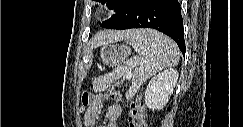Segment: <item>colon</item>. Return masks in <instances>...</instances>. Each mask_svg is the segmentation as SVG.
Returning a JSON list of instances; mask_svg holds the SVG:
<instances>
[{"label": "colon", "instance_id": "1", "mask_svg": "<svg viewBox=\"0 0 243 127\" xmlns=\"http://www.w3.org/2000/svg\"><path fill=\"white\" fill-rule=\"evenodd\" d=\"M111 97L114 100L120 99V94L118 92L112 93ZM104 97H94L92 94L88 93L87 91H84L82 93V105L86 106L88 104H91L94 101L101 100ZM127 126L128 127H146V123L144 121V110L143 107L140 106L136 102H131L128 116H127Z\"/></svg>", "mask_w": 243, "mask_h": 127}]
</instances>
